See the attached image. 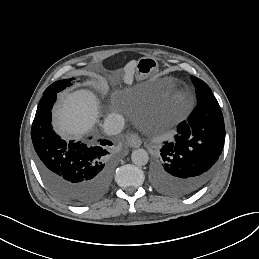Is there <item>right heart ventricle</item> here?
Here are the masks:
<instances>
[{"label": "right heart ventricle", "mask_w": 259, "mask_h": 259, "mask_svg": "<svg viewBox=\"0 0 259 259\" xmlns=\"http://www.w3.org/2000/svg\"><path fill=\"white\" fill-rule=\"evenodd\" d=\"M146 87L145 82L135 80L131 85L122 88L125 98L134 102L138 99L140 92Z\"/></svg>", "instance_id": "e07e8e85"}]
</instances>
